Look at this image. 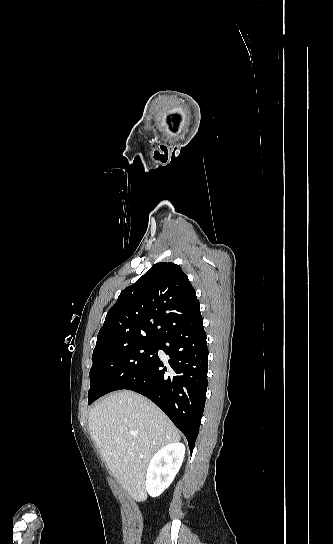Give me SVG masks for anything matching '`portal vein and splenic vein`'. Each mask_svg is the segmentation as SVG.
<instances>
[{
    "label": "portal vein and splenic vein",
    "instance_id": "obj_1",
    "mask_svg": "<svg viewBox=\"0 0 333 544\" xmlns=\"http://www.w3.org/2000/svg\"><path fill=\"white\" fill-rule=\"evenodd\" d=\"M132 435L136 436L138 433L136 431H131L130 432Z\"/></svg>",
    "mask_w": 333,
    "mask_h": 544
}]
</instances>
